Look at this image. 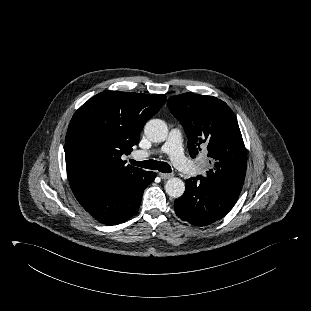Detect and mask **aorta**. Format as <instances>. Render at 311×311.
I'll use <instances>...</instances> for the list:
<instances>
[{
    "label": "aorta",
    "instance_id": "762f6f07",
    "mask_svg": "<svg viewBox=\"0 0 311 311\" xmlns=\"http://www.w3.org/2000/svg\"><path fill=\"white\" fill-rule=\"evenodd\" d=\"M144 132L146 137L155 143L165 141L168 136L167 125L160 119L149 120L144 127ZM165 191L170 197L179 198L185 191V184L179 178H170L165 183Z\"/></svg>",
    "mask_w": 311,
    "mask_h": 311
}]
</instances>
